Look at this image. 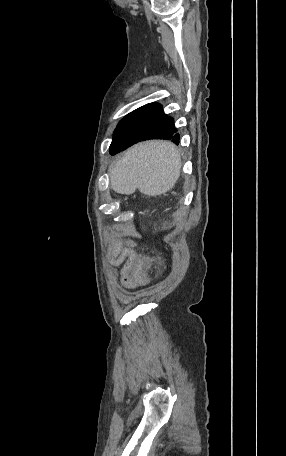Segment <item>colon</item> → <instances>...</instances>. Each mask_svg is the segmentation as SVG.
<instances>
[{
	"mask_svg": "<svg viewBox=\"0 0 286 456\" xmlns=\"http://www.w3.org/2000/svg\"><path fill=\"white\" fill-rule=\"evenodd\" d=\"M154 258L148 255H137L132 267L131 273L133 279L139 284L146 283L149 280L147 271L153 265Z\"/></svg>",
	"mask_w": 286,
	"mask_h": 456,
	"instance_id": "obj_1",
	"label": "colon"
}]
</instances>
